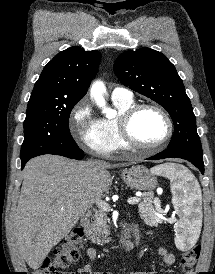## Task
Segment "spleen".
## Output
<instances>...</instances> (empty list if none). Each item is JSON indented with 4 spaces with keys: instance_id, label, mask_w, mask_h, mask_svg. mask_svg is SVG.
I'll return each instance as SVG.
<instances>
[{
    "instance_id": "1",
    "label": "spleen",
    "mask_w": 215,
    "mask_h": 274,
    "mask_svg": "<svg viewBox=\"0 0 215 274\" xmlns=\"http://www.w3.org/2000/svg\"><path fill=\"white\" fill-rule=\"evenodd\" d=\"M151 172L170 179L172 203L180 214V221L175 229L176 244L181 247L194 244L201 230L197 209L201 205L202 194L198 181L186 167L174 163L155 166Z\"/></svg>"
}]
</instances>
